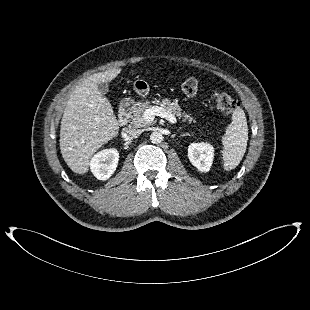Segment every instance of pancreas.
<instances>
[{"label":"pancreas","mask_w":310,"mask_h":310,"mask_svg":"<svg viewBox=\"0 0 310 310\" xmlns=\"http://www.w3.org/2000/svg\"><path fill=\"white\" fill-rule=\"evenodd\" d=\"M154 103L160 105L162 108L172 113L173 115H176L179 119L183 118L184 122L186 120H188L189 123L194 122V119L190 116V114L182 112V109L177 102H171L169 99H162L161 101L155 100ZM151 107L153 106L150 104V102H139L133 112L132 121L130 124L134 128L148 127L150 123L145 120L144 112Z\"/></svg>","instance_id":"1"}]
</instances>
